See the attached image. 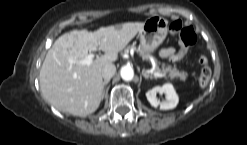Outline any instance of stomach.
<instances>
[{"instance_id":"stomach-1","label":"stomach","mask_w":247,"mask_h":145,"mask_svg":"<svg viewBox=\"0 0 247 145\" xmlns=\"http://www.w3.org/2000/svg\"><path fill=\"white\" fill-rule=\"evenodd\" d=\"M168 33V21L161 16H151L139 31V52L149 57L164 41Z\"/></svg>"}]
</instances>
